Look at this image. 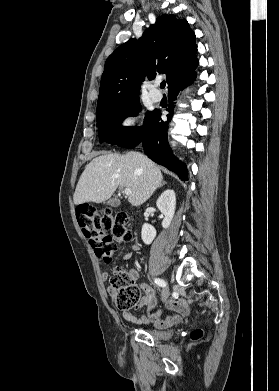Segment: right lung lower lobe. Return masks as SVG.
Listing matches in <instances>:
<instances>
[{"mask_svg": "<svg viewBox=\"0 0 279 391\" xmlns=\"http://www.w3.org/2000/svg\"><path fill=\"white\" fill-rule=\"evenodd\" d=\"M195 78L196 72H193L169 90V105L167 111L173 114L175 100L179 92L190 85ZM167 117L168 119H171L172 115H167ZM168 124L169 120H161L160 111L154 110L147 118H145L142 129L138 127L132 129L114 144L126 148H133L142 142L144 152L150 159L177 173L181 180H187L188 177L185 164L176 159L169 147L167 140Z\"/></svg>", "mask_w": 279, "mask_h": 391, "instance_id": "right-lung-lower-lobe-1", "label": "right lung lower lobe"}]
</instances>
